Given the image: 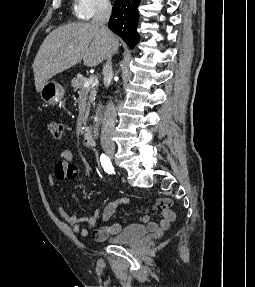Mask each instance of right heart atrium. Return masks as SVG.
Wrapping results in <instances>:
<instances>
[{
    "label": "right heart atrium",
    "instance_id": "right-heart-atrium-1",
    "mask_svg": "<svg viewBox=\"0 0 255 287\" xmlns=\"http://www.w3.org/2000/svg\"><path fill=\"white\" fill-rule=\"evenodd\" d=\"M60 48H79V47H60Z\"/></svg>",
    "mask_w": 255,
    "mask_h": 287
}]
</instances>
